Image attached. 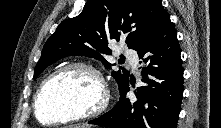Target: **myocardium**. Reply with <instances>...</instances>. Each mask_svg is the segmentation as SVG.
Instances as JSON below:
<instances>
[{
  "instance_id": "f54148a6",
  "label": "myocardium",
  "mask_w": 221,
  "mask_h": 128,
  "mask_svg": "<svg viewBox=\"0 0 221 128\" xmlns=\"http://www.w3.org/2000/svg\"><path fill=\"white\" fill-rule=\"evenodd\" d=\"M74 69H79L83 70L89 74H91L94 78L95 81L98 85L99 92L97 96L93 99V101L90 103V106L85 108L84 111L75 113V114H70L67 116H64L62 118H56L50 122L44 123L42 122L39 117H38V112H37V106L39 103V100L41 98L42 92L45 88V86L48 84L50 80L55 78L56 76L70 70ZM109 102V92L107 89L106 82L102 76V74L92 65L83 63V62H73L66 64L52 73H50L39 85L35 96H34V101H33V112L36 120L42 124H47V125H55V124H67V123H72V122H77L86 118H92L99 116L104 110L106 109L107 105Z\"/></svg>"
}]
</instances>
